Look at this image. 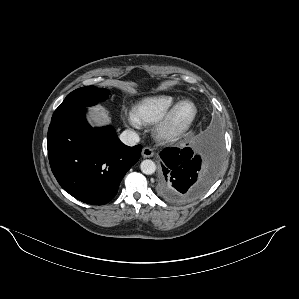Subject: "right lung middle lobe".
<instances>
[{"label":"right lung middle lobe","instance_id":"1","mask_svg":"<svg viewBox=\"0 0 299 299\" xmlns=\"http://www.w3.org/2000/svg\"><path fill=\"white\" fill-rule=\"evenodd\" d=\"M109 91L105 89H99L94 86L82 87L71 92L61 105L55 110L52 119L71 112L78 107H88L97 104L100 101H104L108 98Z\"/></svg>","mask_w":299,"mask_h":299}]
</instances>
